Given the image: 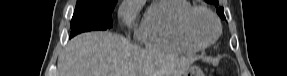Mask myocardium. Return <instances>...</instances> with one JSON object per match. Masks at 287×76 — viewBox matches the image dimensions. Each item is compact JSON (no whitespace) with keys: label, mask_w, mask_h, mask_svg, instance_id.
<instances>
[{"label":"myocardium","mask_w":287,"mask_h":76,"mask_svg":"<svg viewBox=\"0 0 287 76\" xmlns=\"http://www.w3.org/2000/svg\"><path fill=\"white\" fill-rule=\"evenodd\" d=\"M200 12L206 14L213 21L216 27L215 35L210 41H207V42H202L198 40L194 36L191 30L192 19L195 16V14L200 13ZM181 31L188 42H190L192 45L196 46L199 49H205L215 43V41L221 35L222 28H221V23L219 19L211 10H209L206 7H202V6H192L183 14L181 18Z\"/></svg>","instance_id":"1"}]
</instances>
